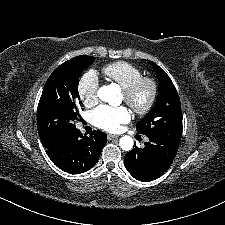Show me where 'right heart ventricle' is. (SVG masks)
<instances>
[{"instance_id": "1", "label": "right heart ventricle", "mask_w": 225, "mask_h": 225, "mask_svg": "<svg viewBox=\"0 0 225 225\" xmlns=\"http://www.w3.org/2000/svg\"><path fill=\"white\" fill-rule=\"evenodd\" d=\"M102 72L109 80L118 84L122 89H125L142 76V71L139 67L126 61H116L107 64L103 67Z\"/></svg>"}]
</instances>
